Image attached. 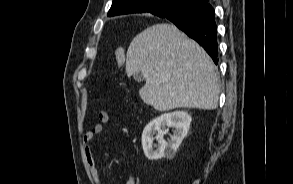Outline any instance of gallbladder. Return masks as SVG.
<instances>
[{"mask_svg": "<svg viewBox=\"0 0 293 184\" xmlns=\"http://www.w3.org/2000/svg\"><path fill=\"white\" fill-rule=\"evenodd\" d=\"M133 77H134V79H135L136 81H138V82L143 81V75H142L141 72L135 73Z\"/></svg>", "mask_w": 293, "mask_h": 184, "instance_id": "bac80fb5", "label": "gallbladder"}]
</instances>
